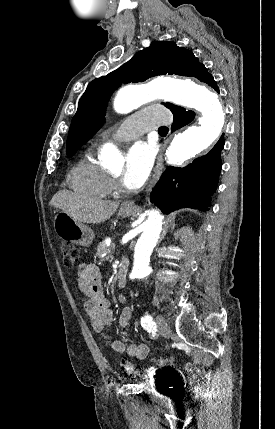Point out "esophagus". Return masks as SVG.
<instances>
[{"label": "esophagus", "instance_id": "34e87169", "mask_svg": "<svg viewBox=\"0 0 275 429\" xmlns=\"http://www.w3.org/2000/svg\"><path fill=\"white\" fill-rule=\"evenodd\" d=\"M164 151H165V147L163 146L159 152L153 173L151 175L149 184L146 188L147 192L152 190V188L155 186V184L157 183V181L160 178V175L162 173V168H163ZM124 206L134 208V207H136V204H135L134 200H129V201L124 202Z\"/></svg>", "mask_w": 275, "mask_h": 429}]
</instances>
